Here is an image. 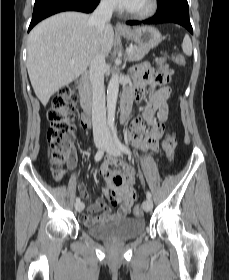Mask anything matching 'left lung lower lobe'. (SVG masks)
Segmentation results:
<instances>
[{"instance_id": "0a47b994", "label": "left lung lower lobe", "mask_w": 229, "mask_h": 280, "mask_svg": "<svg viewBox=\"0 0 229 280\" xmlns=\"http://www.w3.org/2000/svg\"><path fill=\"white\" fill-rule=\"evenodd\" d=\"M168 22L180 24L188 29L190 33H193V29L189 19V7L187 0H161L157 14L154 17L142 22L128 21L127 24H158Z\"/></svg>"}]
</instances>
